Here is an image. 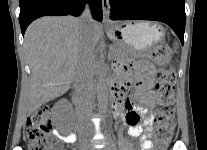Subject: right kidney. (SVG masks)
<instances>
[{
    "mask_svg": "<svg viewBox=\"0 0 207 150\" xmlns=\"http://www.w3.org/2000/svg\"><path fill=\"white\" fill-rule=\"evenodd\" d=\"M65 107H67V101L62 100L53 108V117L55 120H58L61 117Z\"/></svg>",
    "mask_w": 207,
    "mask_h": 150,
    "instance_id": "right-kidney-1",
    "label": "right kidney"
}]
</instances>
